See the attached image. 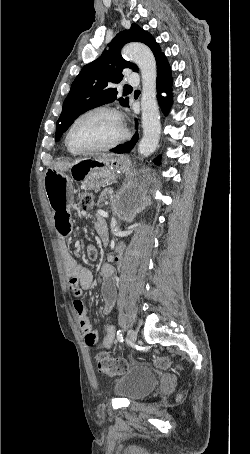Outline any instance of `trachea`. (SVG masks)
<instances>
[{
	"label": "trachea",
	"instance_id": "trachea-1",
	"mask_svg": "<svg viewBox=\"0 0 250 454\" xmlns=\"http://www.w3.org/2000/svg\"><path fill=\"white\" fill-rule=\"evenodd\" d=\"M124 88H125V89H131L132 87L129 86V85H126Z\"/></svg>",
	"mask_w": 250,
	"mask_h": 454
}]
</instances>
